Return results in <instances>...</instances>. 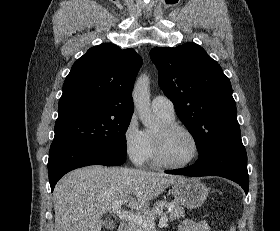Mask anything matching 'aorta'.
Listing matches in <instances>:
<instances>
[{"label":"aorta","instance_id":"aorta-1","mask_svg":"<svg viewBox=\"0 0 280 231\" xmlns=\"http://www.w3.org/2000/svg\"><path fill=\"white\" fill-rule=\"evenodd\" d=\"M135 110L140 121L145 127L157 129L160 125L159 117L154 116L150 106V82L149 76L143 74L137 78L132 94Z\"/></svg>","mask_w":280,"mask_h":231}]
</instances>
